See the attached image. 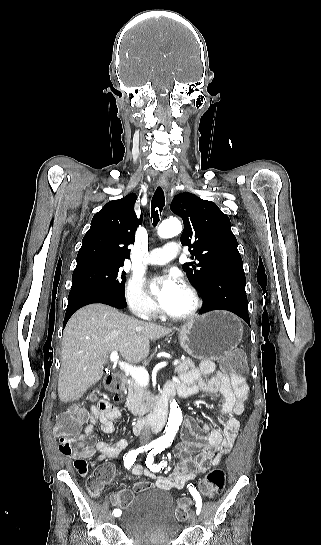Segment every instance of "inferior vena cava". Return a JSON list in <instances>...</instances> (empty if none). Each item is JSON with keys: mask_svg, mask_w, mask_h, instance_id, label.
<instances>
[{"mask_svg": "<svg viewBox=\"0 0 321 545\" xmlns=\"http://www.w3.org/2000/svg\"><path fill=\"white\" fill-rule=\"evenodd\" d=\"M151 439V431H150V427L147 423V421H145V425L141 431V437H140V443H141V447L143 448L144 447V443H148V441H150Z\"/></svg>", "mask_w": 321, "mask_h": 545, "instance_id": "602c4592", "label": "inferior vena cava"}]
</instances>
